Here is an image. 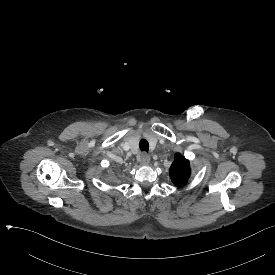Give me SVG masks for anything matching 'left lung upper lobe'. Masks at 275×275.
Returning <instances> with one entry per match:
<instances>
[{
  "mask_svg": "<svg viewBox=\"0 0 275 275\" xmlns=\"http://www.w3.org/2000/svg\"><path fill=\"white\" fill-rule=\"evenodd\" d=\"M190 172L189 161L180 153H177L169 170L173 184L175 186L185 185L190 177Z\"/></svg>",
  "mask_w": 275,
  "mask_h": 275,
  "instance_id": "left-lung-upper-lobe-1",
  "label": "left lung upper lobe"
}]
</instances>
